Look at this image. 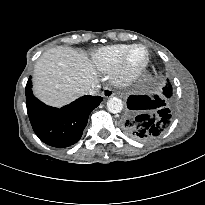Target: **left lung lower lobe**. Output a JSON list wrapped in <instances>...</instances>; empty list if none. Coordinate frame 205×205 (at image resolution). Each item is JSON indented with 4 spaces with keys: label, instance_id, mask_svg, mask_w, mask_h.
Returning a JSON list of instances; mask_svg holds the SVG:
<instances>
[{
    "label": "left lung lower lobe",
    "instance_id": "1",
    "mask_svg": "<svg viewBox=\"0 0 205 205\" xmlns=\"http://www.w3.org/2000/svg\"><path fill=\"white\" fill-rule=\"evenodd\" d=\"M131 95L127 100L129 115L122 122L123 131L137 141H152L169 127L172 118V104L158 96Z\"/></svg>",
    "mask_w": 205,
    "mask_h": 205
}]
</instances>
